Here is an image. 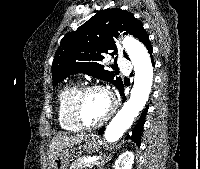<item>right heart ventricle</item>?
Listing matches in <instances>:
<instances>
[{"instance_id":"e07e8e85","label":"right heart ventricle","mask_w":200,"mask_h":169,"mask_svg":"<svg viewBox=\"0 0 200 169\" xmlns=\"http://www.w3.org/2000/svg\"><path fill=\"white\" fill-rule=\"evenodd\" d=\"M79 90L78 85L70 83L64 86L58 94V121L60 127L67 132H77L80 130L73 120L71 109L73 99Z\"/></svg>"}]
</instances>
